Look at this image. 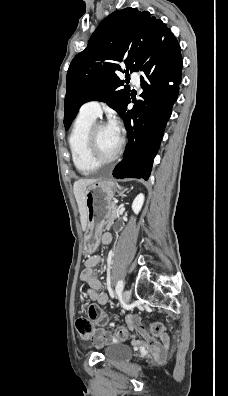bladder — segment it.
<instances>
[{"label": "bladder", "mask_w": 228, "mask_h": 396, "mask_svg": "<svg viewBox=\"0 0 228 396\" xmlns=\"http://www.w3.org/2000/svg\"><path fill=\"white\" fill-rule=\"evenodd\" d=\"M103 353L106 359L112 362L126 361L133 355L129 346L120 343L108 344L105 346Z\"/></svg>", "instance_id": "obj_1"}]
</instances>
